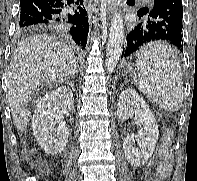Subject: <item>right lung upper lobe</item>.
I'll return each mask as SVG.
<instances>
[{
    "label": "right lung upper lobe",
    "mask_w": 197,
    "mask_h": 181,
    "mask_svg": "<svg viewBox=\"0 0 197 181\" xmlns=\"http://www.w3.org/2000/svg\"><path fill=\"white\" fill-rule=\"evenodd\" d=\"M33 29H36V28L27 27V28H21L20 30L24 32V31H30Z\"/></svg>",
    "instance_id": "1"
}]
</instances>
